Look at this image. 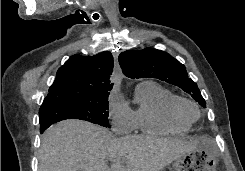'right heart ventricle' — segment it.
<instances>
[{
	"label": "right heart ventricle",
	"instance_id": "1",
	"mask_svg": "<svg viewBox=\"0 0 245 171\" xmlns=\"http://www.w3.org/2000/svg\"><path fill=\"white\" fill-rule=\"evenodd\" d=\"M177 96L153 81L137 85L135 98L137 107L132 112L134 127L144 134L166 135L184 133L190 124L176 119L169 110L171 101Z\"/></svg>",
	"mask_w": 245,
	"mask_h": 171
}]
</instances>
